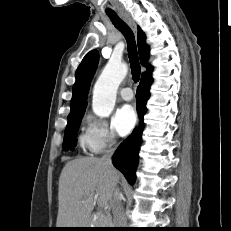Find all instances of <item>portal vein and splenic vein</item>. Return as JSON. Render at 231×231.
Segmentation results:
<instances>
[{"instance_id":"18ae733b","label":"portal vein and splenic vein","mask_w":231,"mask_h":231,"mask_svg":"<svg viewBox=\"0 0 231 231\" xmlns=\"http://www.w3.org/2000/svg\"><path fill=\"white\" fill-rule=\"evenodd\" d=\"M98 205L102 207V202L98 200Z\"/></svg>"}]
</instances>
